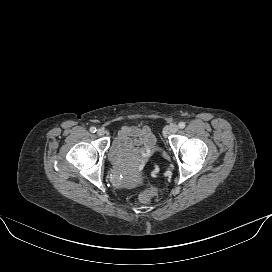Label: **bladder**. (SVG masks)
I'll use <instances>...</instances> for the list:
<instances>
[{
	"mask_svg": "<svg viewBox=\"0 0 272 272\" xmlns=\"http://www.w3.org/2000/svg\"><path fill=\"white\" fill-rule=\"evenodd\" d=\"M108 160H109L110 164L115 165V166L117 165V157L113 153L112 149L110 150V152L108 154Z\"/></svg>",
	"mask_w": 272,
	"mask_h": 272,
	"instance_id": "bladder-1",
	"label": "bladder"
}]
</instances>
